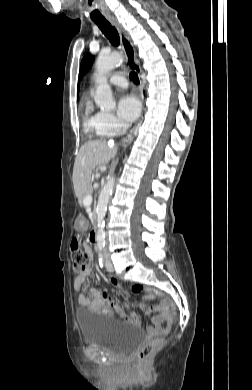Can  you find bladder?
I'll return each instance as SVG.
<instances>
[{
    "instance_id": "1",
    "label": "bladder",
    "mask_w": 252,
    "mask_h": 390,
    "mask_svg": "<svg viewBox=\"0 0 252 390\" xmlns=\"http://www.w3.org/2000/svg\"><path fill=\"white\" fill-rule=\"evenodd\" d=\"M83 341L115 354L126 353L144 340L141 329L111 318L78 312Z\"/></svg>"
}]
</instances>
